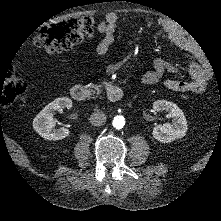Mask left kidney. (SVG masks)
<instances>
[{"instance_id": "1", "label": "left kidney", "mask_w": 221, "mask_h": 221, "mask_svg": "<svg viewBox=\"0 0 221 221\" xmlns=\"http://www.w3.org/2000/svg\"><path fill=\"white\" fill-rule=\"evenodd\" d=\"M155 112H168L167 117L172 118L171 123L155 125L152 131L153 137L161 143H170L181 139L187 132V121L183 111L174 103L166 100H157L153 103Z\"/></svg>"}]
</instances>
